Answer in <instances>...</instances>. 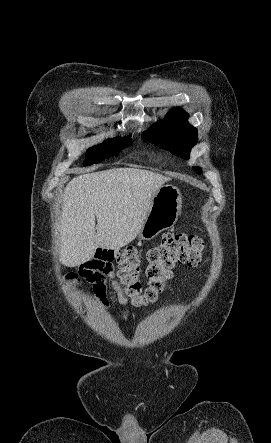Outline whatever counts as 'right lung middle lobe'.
Instances as JSON below:
<instances>
[{"instance_id":"obj_1","label":"right lung middle lobe","mask_w":271,"mask_h":443,"mask_svg":"<svg viewBox=\"0 0 271 443\" xmlns=\"http://www.w3.org/2000/svg\"><path fill=\"white\" fill-rule=\"evenodd\" d=\"M130 142V137L107 139L104 143L93 146L87 150L84 165L88 166L94 163H99L106 158L115 156L123 148L128 147Z\"/></svg>"}]
</instances>
